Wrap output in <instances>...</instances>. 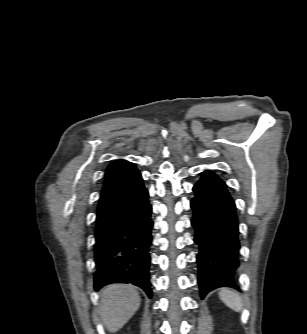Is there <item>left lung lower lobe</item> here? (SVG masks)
Instances as JSON below:
<instances>
[{
  "instance_id": "0a47b994",
  "label": "left lung lower lobe",
  "mask_w": 307,
  "mask_h": 334,
  "mask_svg": "<svg viewBox=\"0 0 307 334\" xmlns=\"http://www.w3.org/2000/svg\"><path fill=\"white\" fill-rule=\"evenodd\" d=\"M191 200L199 246L197 264L201 297L219 287L239 289L236 269L239 267L238 220L233 199L226 184L211 171H205L194 185Z\"/></svg>"
}]
</instances>
